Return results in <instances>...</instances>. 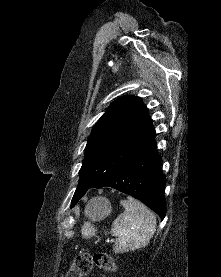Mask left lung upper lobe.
<instances>
[{"instance_id": "obj_1", "label": "left lung upper lobe", "mask_w": 221, "mask_h": 277, "mask_svg": "<svg viewBox=\"0 0 221 277\" xmlns=\"http://www.w3.org/2000/svg\"><path fill=\"white\" fill-rule=\"evenodd\" d=\"M155 135L152 119L140 97L124 96L114 101L90 134L73 198L112 174Z\"/></svg>"}]
</instances>
